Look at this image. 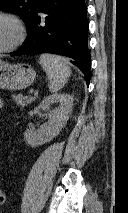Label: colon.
<instances>
[{
	"mask_svg": "<svg viewBox=\"0 0 128 213\" xmlns=\"http://www.w3.org/2000/svg\"><path fill=\"white\" fill-rule=\"evenodd\" d=\"M6 200L5 193L0 189V205L4 204Z\"/></svg>",
	"mask_w": 128,
	"mask_h": 213,
	"instance_id": "colon-1",
	"label": "colon"
}]
</instances>
